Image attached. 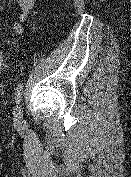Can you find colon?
Wrapping results in <instances>:
<instances>
[{
	"instance_id": "5ec220e1",
	"label": "colon",
	"mask_w": 131,
	"mask_h": 177,
	"mask_svg": "<svg viewBox=\"0 0 131 177\" xmlns=\"http://www.w3.org/2000/svg\"><path fill=\"white\" fill-rule=\"evenodd\" d=\"M8 67H9V64L5 58L3 46L0 45V71L4 72L8 69Z\"/></svg>"
}]
</instances>
